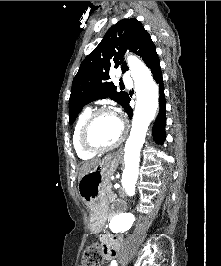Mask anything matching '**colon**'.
Instances as JSON below:
<instances>
[{
  "label": "colon",
  "instance_id": "obj_1",
  "mask_svg": "<svg viewBox=\"0 0 221 266\" xmlns=\"http://www.w3.org/2000/svg\"><path fill=\"white\" fill-rule=\"evenodd\" d=\"M101 263L100 247L97 244H91L83 252L82 266H100Z\"/></svg>",
  "mask_w": 221,
  "mask_h": 266
}]
</instances>
